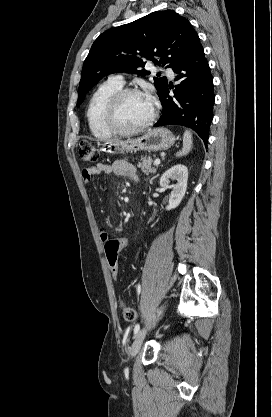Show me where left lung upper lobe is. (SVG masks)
Here are the masks:
<instances>
[{
  "instance_id": "5c2ea615",
  "label": "left lung upper lobe",
  "mask_w": 272,
  "mask_h": 417,
  "mask_svg": "<svg viewBox=\"0 0 272 417\" xmlns=\"http://www.w3.org/2000/svg\"><path fill=\"white\" fill-rule=\"evenodd\" d=\"M202 45L187 19L172 10L155 11L134 22L109 29L93 43L84 61L79 83L77 106L101 77L115 72H132L142 76L146 60L174 68ZM154 56L161 57L160 61ZM161 96L167 86L165 77H154Z\"/></svg>"
}]
</instances>
